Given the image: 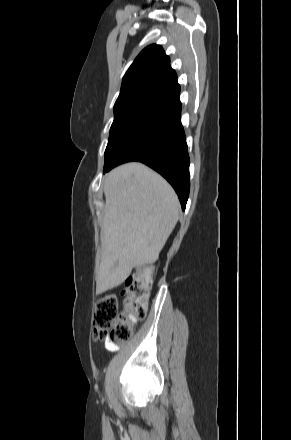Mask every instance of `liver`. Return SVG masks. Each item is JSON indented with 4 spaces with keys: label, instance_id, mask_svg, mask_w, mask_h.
<instances>
[{
    "label": "liver",
    "instance_id": "1",
    "mask_svg": "<svg viewBox=\"0 0 291 440\" xmlns=\"http://www.w3.org/2000/svg\"><path fill=\"white\" fill-rule=\"evenodd\" d=\"M97 293L121 285L135 266L154 263L179 218L178 197L158 173L138 162L106 175Z\"/></svg>",
    "mask_w": 291,
    "mask_h": 440
}]
</instances>
